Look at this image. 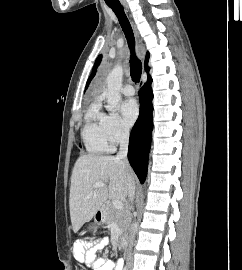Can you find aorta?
Instances as JSON below:
<instances>
[{
  "mask_svg": "<svg viewBox=\"0 0 242 270\" xmlns=\"http://www.w3.org/2000/svg\"><path fill=\"white\" fill-rule=\"evenodd\" d=\"M123 68L116 65L106 79L105 95L108 101L106 109L113 111L120 102V89L122 87Z\"/></svg>",
  "mask_w": 242,
  "mask_h": 270,
  "instance_id": "aorta-1",
  "label": "aorta"
}]
</instances>
